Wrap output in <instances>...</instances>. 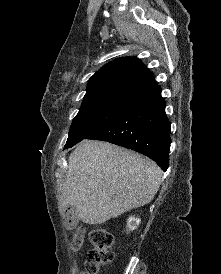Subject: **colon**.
Wrapping results in <instances>:
<instances>
[{
    "mask_svg": "<svg viewBox=\"0 0 221 274\" xmlns=\"http://www.w3.org/2000/svg\"><path fill=\"white\" fill-rule=\"evenodd\" d=\"M85 231L77 229L73 237V247L79 249L84 241ZM92 245L86 261V273L97 274L99 269L113 258L111 248L114 243L112 233L104 227L96 226L88 234Z\"/></svg>",
    "mask_w": 221,
    "mask_h": 274,
    "instance_id": "colon-1",
    "label": "colon"
}]
</instances>
